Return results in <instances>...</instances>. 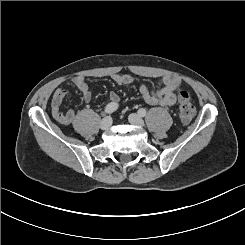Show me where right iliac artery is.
<instances>
[{
    "label": "right iliac artery",
    "instance_id": "right-iliac-artery-1",
    "mask_svg": "<svg viewBox=\"0 0 245 245\" xmlns=\"http://www.w3.org/2000/svg\"><path fill=\"white\" fill-rule=\"evenodd\" d=\"M118 108V104L117 103H109L106 107H105V113L106 114H111L113 113L114 111H116Z\"/></svg>",
    "mask_w": 245,
    "mask_h": 245
}]
</instances>
